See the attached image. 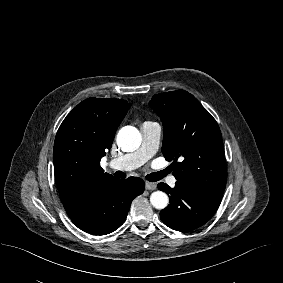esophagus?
<instances>
[{"instance_id":"esophagus-1","label":"esophagus","mask_w":283,"mask_h":283,"mask_svg":"<svg viewBox=\"0 0 283 283\" xmlns=\"http://www.w3.org/2000/svg\"><path fill=\"white\" fill-rule=\"evenodd\" d=\"M157 187L156 183H151V182H146L145 183V188L147 190H155Z\"/></svg>"}]
</instances>
